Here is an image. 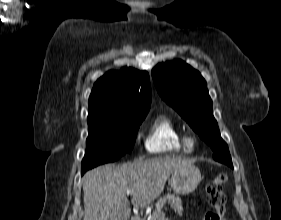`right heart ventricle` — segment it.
<instances>
[{
	"label": "right heart ventricle",
	"instance_id": "obj_1",
	"mask_svg": "<svg viewBox=\"0 0 281 220\" xmlns=\"http://www.w3.org/2000/svg\"><path fill=\"white\" fill-rule=\"evenodd\" d=\"M183 137L182 130L169 116L158 115L148 130L145 148L152 154L188 152Z\"/></svg>",
	"mask_w": 281,
	"mask_h": 220
}]
</instances>
